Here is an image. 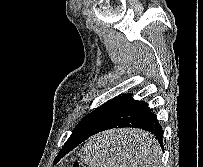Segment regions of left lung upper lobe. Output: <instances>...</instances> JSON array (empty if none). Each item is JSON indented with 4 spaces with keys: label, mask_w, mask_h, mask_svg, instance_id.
<instances>
[{
    "label": "left lung upper lobe",
    "mask_w": 203,
    "mask_h": 167,
    "mask_svg": "<svg viewBox=\"0 0 203 167\" xmlns=\"http://www.w3.org/2000/svg\"><path fill=\"white\" fill-rule=\"evenodd\" d=\"M121 97L122 96H118L113 98L112 100H109L99 108L95 109L89 115L84 117L76 126V128L73 130L70 137L82 134H89L90 132L94 131L98 127V125L112 111V109L114 108V106L117 104V102L120 100ZM58 157L61 158L60 155H58Z\"/></svg>",
    "instance_id": "1"
}]
</instances>
